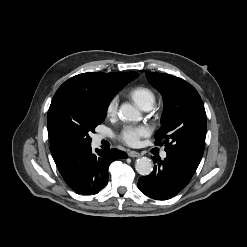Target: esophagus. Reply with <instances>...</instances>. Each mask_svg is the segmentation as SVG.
Instances as JSON below:
<instances>
[{
  "label": "esophagus",
  "instance_id": "esophagus-1",
  "mask_svg": "<svg viewBox=\"0 0 247 247\" xmlns=\"http://www.w3.org/2000/svg\"><path fill=\"white\" fill-rule=\"evenodd\" d=\"M128 156L138 158V157H141V154L139 152H136V151H129Z\"/></svg>",
  "mask_w": 247,
  "mask_h": 247
}]
</instances>
